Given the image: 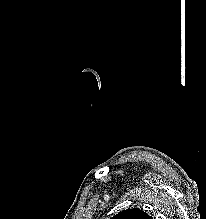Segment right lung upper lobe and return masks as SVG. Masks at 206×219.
I'll return each mask as SVG.
<instances>
[{
	"instance_id": "1",
	"label": "right lung upper lobe",
	"mask_w": 206,
	"mask_h": 219,
	"mask_svg": "<svg viewBox=\"0 0 206 219\" xmlns=\"http://www.w3.org/2000/svg\"><path fill=\"white\" fill-rule=\"evenodd\" d=\"M111 219H153L152 217L148 216L144 211L135 208V209H128L124 210L117 215L113 216Z\"/></svg>"
}]
</instances>
